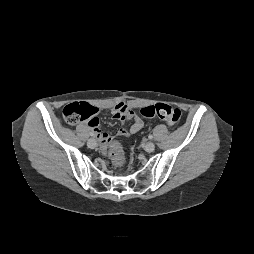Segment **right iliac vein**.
<instances>
[{"label": "right iliac vein", "instance_id": "obj_1", "mask_svg": "<svg viewBox=\"0 0 254 254\" xmlns=\"http://www.w3.org/2000/svg\"><path fill=\"white\" fill-rule=\"evenodd\" d=\"M96 145H97V142H96V140L93 139V138H91V139H89V140L87 141V146H88L89 148H95Z\"/></svg>", "mask_w": 254, "mask_h": 254}]
</instances>
